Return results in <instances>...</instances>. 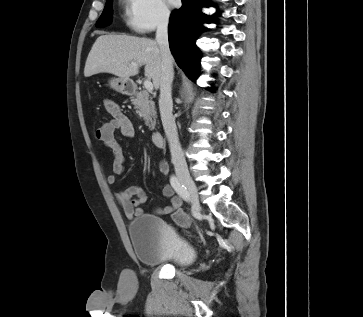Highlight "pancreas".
Listing matches in <instances>:
<instances>
[{"mask_svg":"<svg viewBox=\"0 0 363 317\" xmlns=\"http://www.w3.org/2000/svg\"><path fill=\"white\" fill-rule=\"evenodd\" d=\"M132 104L136 109V113L140 117H143L146 126H148L150 130H154L157 115L155 103L152 101V97H150L148 91L143 90L138 92L135 97L132 98Z\"/></svg>","mask_w":363,"mask_h":317,"instance_id":"1","label":"pancreas"}]
</instances>
